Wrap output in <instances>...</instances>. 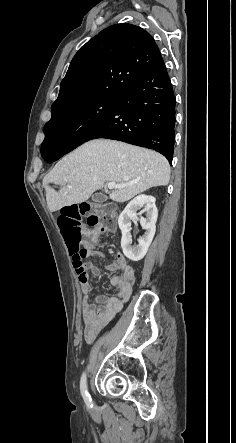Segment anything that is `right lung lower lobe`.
I'll list each match as a JSON object with an SVG mask.
<instances>
[{
    "mask_svg": "<svg viewBox=\"0 0 236 443\" xmlns=\"http://www.w3.org/2000/svg\"><path fill=\"white\" fill-rule=\"evenodd\" d=\"M175 104L172 84L160 57L68 146H47L41 149V155L51 163L88 140L108 138L156 150L171 163Z\"/></svg>",
    "mask_w": 236,
    "mask_h": 443,
    "instance_id": "1",
    "label": "right lung lower lobe"
}]
</instances>
